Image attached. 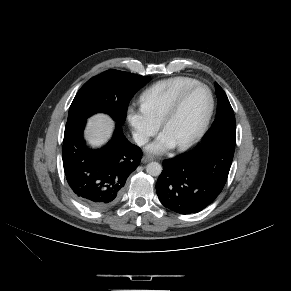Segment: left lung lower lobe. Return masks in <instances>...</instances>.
Listing matches in <instances>:
<instances>
[{
    "mask_svg": "<svg viewBox=\"0 0 291 291\" xmlns=\"http://www.w3.org/2000/svg\"><path fill=\"white\" fill-rule=\"evenodd\" d=\"M236 137L202 142L189 153L163 162L156 184L161 203L180 214L198 213L222 191L233 160Z\"/></svg>",
    "mask_w": 291,
    "mask_h": 291,
    "instance_id": "1",
    "label": "left lung lower lobe"
}]
</instances>
